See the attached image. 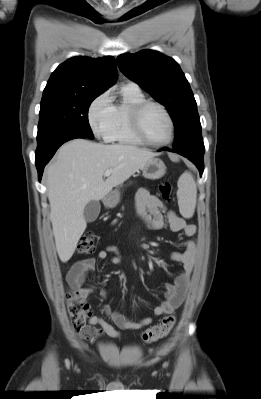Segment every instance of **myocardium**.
Masks as SVG:
<instances>
[{
  "mask_svg": "<svg viewBox=\"0 0 261 399\" xmlns=\"http://www.w3.org/2000/svg\"><path fill=\"white\" fill-rule=\"evenodd\" d=\"M148 107H157L159 108L164 115L166 116L169 126H170V134L169 138L163 142H156L148 138L146 135L143 125H142V115L144 111ZM129 123L132 133L135 135L137 139H139L142 143L154 146V147H163L167 146L174 140L175 137V123L167 108L159 102L152 100H143L139 103L134 104L129 110Z\"/></svg>",
  "mask_w": 261,
  "mask_h": 399,
  "instance_id": "myocardium-1",
  "label": "myocardium"
}]
</instances>
